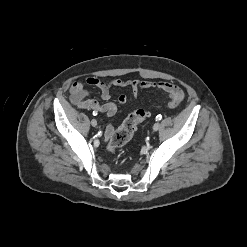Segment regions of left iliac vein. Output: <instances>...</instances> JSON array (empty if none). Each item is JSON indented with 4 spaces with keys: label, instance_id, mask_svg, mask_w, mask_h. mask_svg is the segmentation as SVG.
I'll list each match as a JSON object with an SVG mask.
<instances>
[{
    "label": "left iliac vein",
    "instance_id": "obj_1",
    "mask_svg": "<svg viewBox=\"0 0 247 247\" xmlns=\"http://www.w3.org/2000/svg\"><path fill=\"white\" fill-rule=\"evenodd\" d=\"M159 128H160V124L158 122L153 125V130L154 131L159 130Z\"/></svg>",
    "mask_w": 247,
    "mask_h": 247
}]
</instances>
